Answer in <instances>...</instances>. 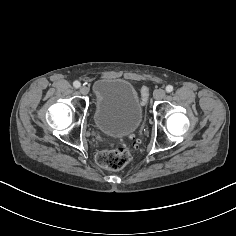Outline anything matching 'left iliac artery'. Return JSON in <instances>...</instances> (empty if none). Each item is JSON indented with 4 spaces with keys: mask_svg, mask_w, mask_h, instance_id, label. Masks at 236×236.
Here are the masks:
<instances>
[{
    "mask_svg": "<svg viewBox=\"0 0 236 236\" xmlns=\"http://www.w3.org/2000/svg\"><path fill=\"white\" fill-rule=\"evenodd\" d=\"M166 91H167L168 93L172 92V91H173V86H172V85L166 86Z\"/></svg>",
    "mask_w": 236,
    "mask_h": 236,
    "instance_id": "44dca946",
    "label": "left iliac artery"
}]
</instances>
